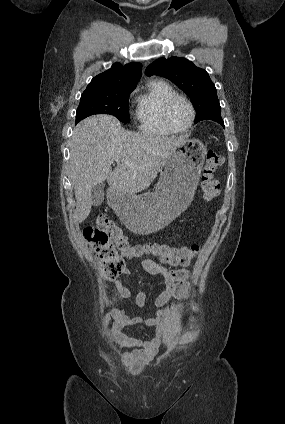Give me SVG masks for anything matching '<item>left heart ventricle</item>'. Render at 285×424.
I'll return each instance as SVG.
<instances>
[{
    "label": "left heart ventricle",
    "instance_id": "1",
    "mask_svg": "<svg viewBox=\"0 0 285 424\" xmlns=\"http://www.w3.org/2000/svg\"><path fill=\"white\" fill-rule=\"evenodd\" d=\"M169 118L171 124L176 129H185L191 119V112L188 105L182 100L176 101L170 109Z\"/></svg>",
    "mask_w": 285,
    "mask_h": 424
}]
</instances>
